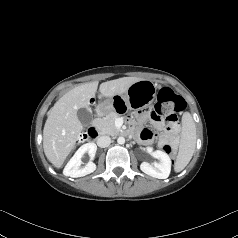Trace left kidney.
Returning a JSON list of instances; mask_svg holds the SVG:
<instances>
[{"mask_svg": "<svg viewBox=\"0 0 238 238\" xmlns=\"http://www.w3.org/2000/svg\"><path fill=\"white\" fill-rule=\"evenodd\" d=\"M146 152L154 158L158 159L159 162H156L153 165L147 162H142L140 165V169L147 175L158 179L168 178L171 171L172 163L168 154L160 150L153 151L151 147H147Z\"/></svg>", "mask_w": 238, "mask_h": 238, "instance_id": "left-kidney-1", "label": "left kidney"}]
</instances>
